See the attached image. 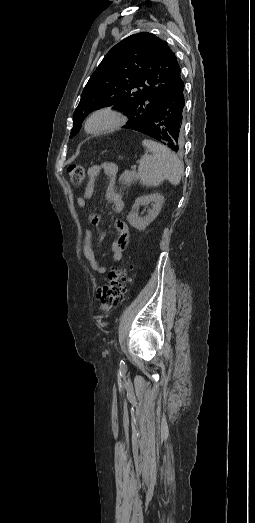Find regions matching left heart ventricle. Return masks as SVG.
Instances as JSON below:
<instances>
[{
	"label": "left heart ventricle",
	"mask_w": 255,
	"mask_h": 523,
	"mask_svg": "<svg viewBox=\"0 0 255 523\" xmlns=\"http://www.w3.org/2000/svg\"><path fill=\"white\" fill-rule=\"evenodd\" d=\"M104 123H105V119H99V120L97 121V124H98V125H101V124H104Z\"/></svg>",
	"instance_id": "1"
}]
</instances>
